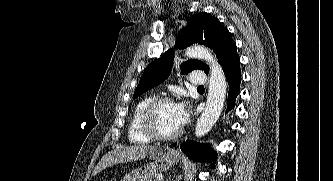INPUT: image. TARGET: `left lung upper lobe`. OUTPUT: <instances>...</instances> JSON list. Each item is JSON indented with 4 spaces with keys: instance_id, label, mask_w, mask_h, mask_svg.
I'll list each match as a JSON object with an SVG mask.
<instances>
[{
    "instance_id": "obj_1",
    "label": "left lung upper lobe",
    "mask_w": 333,
    "mask_h": 181,
    "mask_svg": "<svg viewBox=\"0 0 333 181\" xmlns=\"http://www.w3.org/2000/svg\"><path fill=\"white\" fill-rule=\"evenodd\" d=\"M193 43L204 44L213 49L219 63L236 46L229 31L221 25L220 21L205 12L189 18L187 26L182 29L177 38L175 47L183 49ZM172 59L173 52L168 50L158 60L153 61L141 76L133 98L162 83L170 75ZM194 69L204 70L206 74L209 72L208 66L198 60L186 61L181 66L184 74Z\"/></svg>"
}]
</instances>
